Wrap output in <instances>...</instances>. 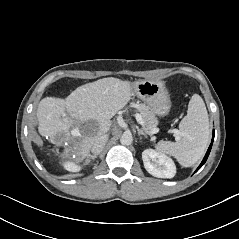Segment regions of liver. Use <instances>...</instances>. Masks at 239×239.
I'll use <instances>...</instances> for the list:
<instances>
[{
  "label": "liver",
  "mask_w": 239,
  "mask_h": 239,
  "mask_svg": "<svg viewBox=\"0 0 239 239\" xmlns=\"http://www.w3.org/2000/svg\"><path fill=\"white\" fill-rule=\"evenodd\" d=\"M133 95L131 82L108 77L76 88L66 99L45 97L39 102L36 114L39 134L61 145L71 128L73 135H80L81 124L94 121L97 125L94 133L83 136L77 152L80 162L89 156L90 149L94 154L99 153L95 148L96 138L110 130L111 118Z\"/></svg>",
  "instance_id": "6515ba94"
}]
</instances>
